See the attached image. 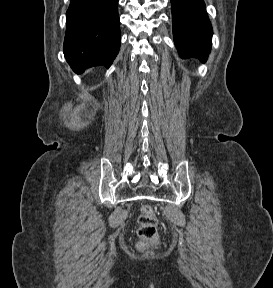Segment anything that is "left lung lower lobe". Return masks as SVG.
<instances>
[{"mask_svg":"<svg viewBox=\"0 0 273 288\" xmlns=\"http://www.w3.org/2000/svg\"><path fill=\"white\" fill-rule=\"evenodd\" d=\"M173 34L182 59L206 62L212 44V27L204 0H171Z\"/></svg>","mask_w":273,"mask_h":288,"instance_id":"1","label":"left lung lower lobe"}]
</instances>
